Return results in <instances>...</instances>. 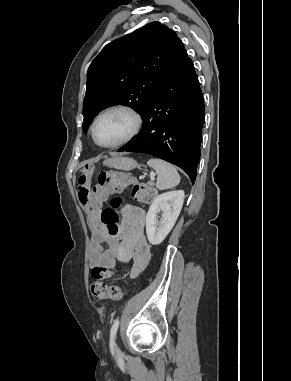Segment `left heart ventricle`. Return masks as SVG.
Masks as SVG:
<instances>
[{
	"label": "left heart ventricle",
	"mask_w": 291,
	"mask_h": 381,
	"mask_svg": "<svg viewBox=\"0 0 291 381\" xmlns=\"http://www.w3.org/2000/svg\"><path fill=\"white\" fill-rule=\"evenodd\" d=\"M133 118L125 112L103 116L96 125V137L102 144H112L126 137L133 128Z\"/></svg>",
	"instance_id": "obj_1"
}]
</instances>
